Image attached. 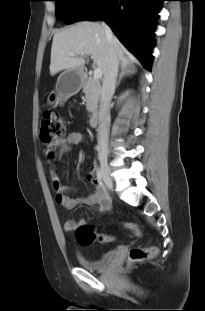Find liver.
<instances>
[{
    "mask_svg": "<svg viewBox=\"0 0 205 311\" xmlns=\"http://www.w3.org/2000/svg\"><path fill=\"white\" fill-rule=\"evenodd\" d=\"M111 49L116 53L122 68L133 63L132 57L115 36L112 40L107 38L103 24L89 21L76 23L55 33L51 47L50 74L54 76L62 70L82 69L85 59L79 56L80 53L91 55L94 64L104 74ZM70 53L76 55L70 56Z\"/></svg>",
    "mask_w": 205,
    "mask_h": 311,
    "instance_id": "liver-1",
    "label": "liver"
}]
</instances>
